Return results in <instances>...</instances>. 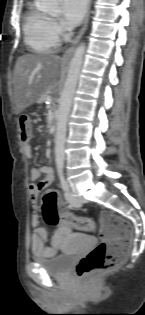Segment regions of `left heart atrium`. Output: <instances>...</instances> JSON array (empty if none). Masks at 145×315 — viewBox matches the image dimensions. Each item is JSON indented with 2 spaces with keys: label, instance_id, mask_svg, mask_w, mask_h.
<instances>
[{
  "label": "left heart atrium",
  "instance_id": "left-heart-atrium-1",
  "mask_svg": "<svg viewBox=\"0 0 145 315\" xmlns=\"http://www.w3.org/2000/svg\"><path fill=\"white\" fill-rule=\"evenodd\" d=\"M87 0H62L63 20L70 27L77 26L83 19Z\"/></svg>",
  "mask_w": 145,
  "mask_h": 315
}]
</instances>
